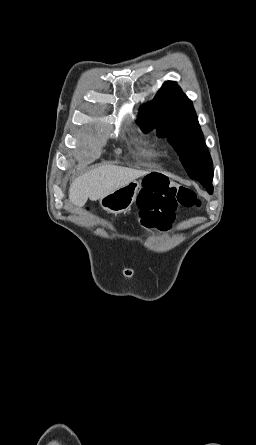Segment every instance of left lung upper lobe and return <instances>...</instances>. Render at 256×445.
<instances>
[{
    "label": "left lung upper lobe",
    "mask_w": 256,
    "mask_h": 445,
    "mask_svg": "<svg viewBox=\"0 0 256 445\" xmlns=\"http://www.w3.org/2000/svg\"><path fill=\"white\" fill-rule=\"evenodd\" d=\"M137 124L144 132L155 128L159 137L168 138L190 178L212 180L213 164L194 107L176 82L162 85L140 109Z\"/></svg>",
    "instance_id": "obj_1"
}]
</instances>
